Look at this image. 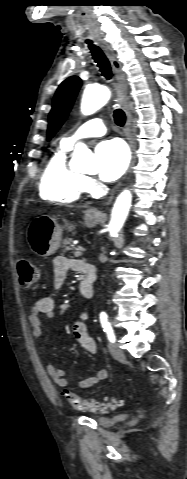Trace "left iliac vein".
I'll return each mask as SVG.
<instances>
[{
  "label": "left iliac vein",
  "mask_w": 187,
  "mask_h": 479,
  "mask_svg": "<svg viewBox=\"0 0 187 479\" xmlns=\"http://www.w3.org/2000/svg\"><path fill=\"white\" fill-rule=\"evenodd\" d=\"M109 351L111 355L117 359V360H123L124 359V353L123 351L114 343L109 344Z\"/></svg>",
  "instance_id": "left-iliac-vein-1"
}]
</instances>
